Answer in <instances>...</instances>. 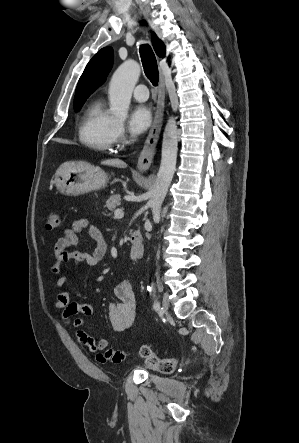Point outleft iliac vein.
Returning <instances> with one entry per match:
<instances>
[{
  "instance_id": "obj_1",
  "label": "left iliac vein",
  "mask_w": 299,
  "mask_h": 443,
  "mask_svg": "<svg viewBox=\"0 0 299 443\" xmlns=\"http://www.w3.org/2000/svg\"><path fill=\"white\" fill-rule=\"evenodd\" d=\"M168 309H169V299H168V297L165 295V296L163 297L161 311H162L163 313H166V312L168 311Z\"/></svg>"
}]
</instances>
